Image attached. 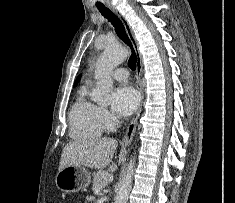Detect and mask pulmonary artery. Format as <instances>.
<instances>
[{"label":"pulmonary artery","instance_id":"e3ab8cb5","mask_svg":"<svg viewBox=\"0 0 235 203\" xmlns=\"http://www.w3.org/2000/svg\"><path fill=\"white\" fill-rule=\"evenodd\" d=\"M129 76L125 68H117L112 72V77L117 81H125Z\"/></svg>","mask_w":235,"mask_h":203}]
</instances>
